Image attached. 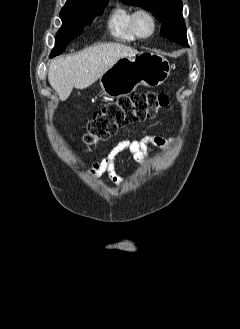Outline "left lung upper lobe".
I'll use <instances>...</instances> for the list:
<instances>
[{
    "instance_id": "5c2ea615",
    "label": "left lung upper lobe",
    "mask_w": 240,
    "mask_h": 329,
    "mask_svg": "<svg viewBox=\"0 0 240 329\" xmlns=\"http://www.w3.org/2000/svg\"><path fill=\"white\" fill-rule=\"evenodd\" d=\"M127 4L152 11L162 22L160 34L176 43L188 46L181 0H123Z\"/></svg>"
}]
</instances>
